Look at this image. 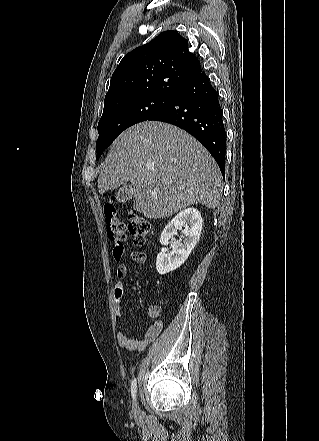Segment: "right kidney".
I'll list each match as a JSON object with an SVG mask.
<instances>
[{
	"instance_id": "1",
	"label": "right kidney",
	"mask_w": 319,
	"mask_h": 441,
	"mask_svg": "<svg viewBox=\"0 0 319 441\" xmlns=\"http://www.w3.org/2000/svg\"><path fill=\"white\" fill-rule=\"evenodd\" d=\"M203 219L200 212L194 208H188L177 214L164 228L160 243L164 246L168 245L173 235L178 230L182 231L180 236L171 244L172 251L168 254L160 252L156 259V269L159 274H166L180 267L189 257L191 251L200 239L202 231Z\"/></svg>"
}]
</instances>
